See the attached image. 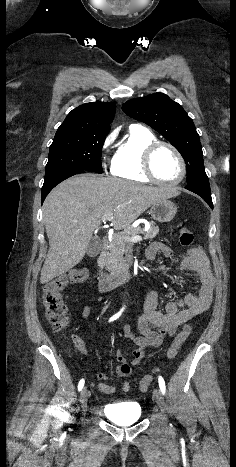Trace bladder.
<instances>
[{
  "mask_svg": "<svg viewBox=\"0 0 236 467\" xmlns=\"http://www.w3.org/2000/svg\"><path fill=\"white\" fill-rule=\"evenodd\" d=\"M104 414L117 424H132L142 416V409L139 403L125 401L121 403L108 404Z\"/></svg>",
  "mask_w": 236,
  "mask_h": 467,
  "instance_id": "bladder-1",
  "label": "bladder"
}]
</instances>
